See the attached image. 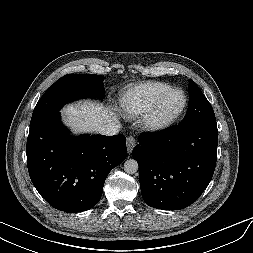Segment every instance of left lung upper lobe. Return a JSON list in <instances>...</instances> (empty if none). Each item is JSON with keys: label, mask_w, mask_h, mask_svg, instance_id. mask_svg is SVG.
Here are the masks:
<instances>
[{"label": "left lung upper lobe", "mask_w": 253, "mask_h": 253, "mask_svg": "<svg viewBox=\"0 0 253 253\" xmlns=\"http://www.w3.org/2000/svg\"><path fill=\"white\" fill-rule=\"evenodd\" d=\"M189 94L187 113L180 123L181 126L187 127L208 120H216L210 103L191 79L189 80Z\"/></svg>", "instance_id": "left-lung-upper-lobe-1"}]
</instances>
